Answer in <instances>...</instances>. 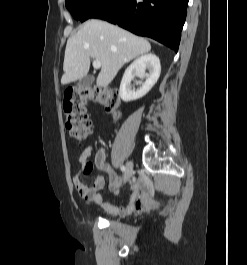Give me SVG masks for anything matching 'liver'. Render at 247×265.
<instances>
[{
	"label": "liver",
	"mask_w": 247,
	"mask_h": 265,
	"mask_svg": "<svg viewBox=\"0 0 247 265\" xmlns=\"http://www.w3.org/2000/svg\"><path fill=\"white\" fill-rule=\"evenodd\" d=\"M151 50L150 43L120 27L91 19L66 44L61 84L87 75L90 58L101 62L97 85L108 86L124 64Z\"/></svg>",
	"instance_id": "6515ba94"
}]
</instances>
